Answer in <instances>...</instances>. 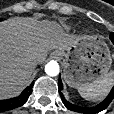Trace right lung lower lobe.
<instances>
[{
  "mask_svg": "<svg viewBox=\"0 0 114 114\" xmlns=\"http://www.w3.org/2000/svg\"><path fill=\"white\" fill-rule=\"evenodd\" d=\"M33 84L34 83H32L29 87L24 89V91L19 96L12 98V99H8V100H1L0 112H5V111L20 107L23 104H25L32 92Z\"/></svg>",
  "mask_w": 114,
  "mask_h": 114,
  "instance_id": "98d812e1",
  "label": "right lung lower lobe"
}]
</instances>
